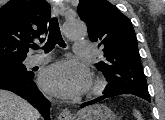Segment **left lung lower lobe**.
I'll use <instances>...</instances> for the list:
<instances>
[{"mask_svg":"<svg viewBox=\"0 0 165 120\" xmlns=\"http://www.w3.org/2000/svg\"><path fill=\"white\" fill-rule=\"evenodd\" d=\"M112 96H113V95H107V94H105V95L100 96V97H98V98H96V99H94V100H91V101H89V102L83 103V104L81 105V108H83V107H85V106H88V105H92V104H94V103H97V102H99V101L105 99V98L112 97ZM143 99H145V98H143ZM145 100H147L148 102H150L149 99H145Z\"/></svg>","mask_w":165,"mask_h":120,"instance_id":"1","label":"left lung lower lobe"}]
</instances>
